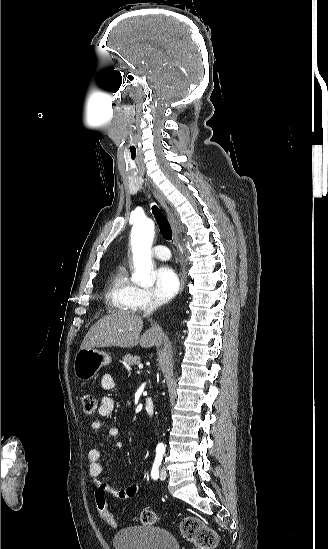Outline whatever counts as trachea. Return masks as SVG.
Masks as SVG:
<instances>
[{
    "label": "trachea",
    "mask_w": 328,
    "mask_h": 549,
    "mask_svg": "<svg viewBox=\"0 0 328 549\" xmlns=\"http://www.w3.org/2000/svg\"><path fill=\"white\" fill-rule=\"evenodd\" d=\"M152 213L163 237L172 242V229L163 212L157 206H152Z\"/></svg>",
    "instance_id": "1"
}]
</instances>
